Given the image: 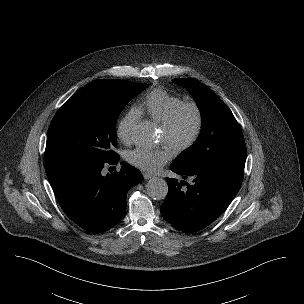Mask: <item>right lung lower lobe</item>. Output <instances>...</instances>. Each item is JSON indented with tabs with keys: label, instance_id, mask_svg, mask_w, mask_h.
<instances>
[{
	"label": "right lung lower lobe",
	"instance_id": "1",
	"mask_svg": "<svg viewBox=\"0 0 304 304\" xmlns=\"http://www.w3.org/2000/svg\"><path fill=\"white\" fill-rule=\"evenodd\" d=\"M109 162L46 169L56 198L67 216L81 228L100 233L116 225L125 215L130 188L142 181L139 170L121 162V170L103 175Z\"/></svg>",
	"mask_w": 304,
	"mask_h": 304
}]
</instances>
